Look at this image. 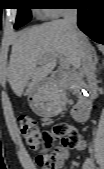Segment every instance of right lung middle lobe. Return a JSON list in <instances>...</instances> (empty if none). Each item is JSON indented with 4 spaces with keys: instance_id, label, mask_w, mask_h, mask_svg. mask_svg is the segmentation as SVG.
Wrapping results in <instances>:
<instances>
[{
    "instance_id": "dd1d6c3e",
    "label": "right lung middle lobe",
    "mask_w": 104,
    "mask_h": 169,
    "mask_svg": "<svg viewBox=\"0 0 104 169\" xmlns=\"http://www.w3.org/2000/svg\"><path fill=\"white\" fill-rule=\"evenodd\" d=\"M20 1V5L18 8L16 23L14 28L18 29L19 27L23 26L24 24L28 23L31 20V12L29 4L26 3L27 0H18Z\"/></svg>"
}]
</instances>
